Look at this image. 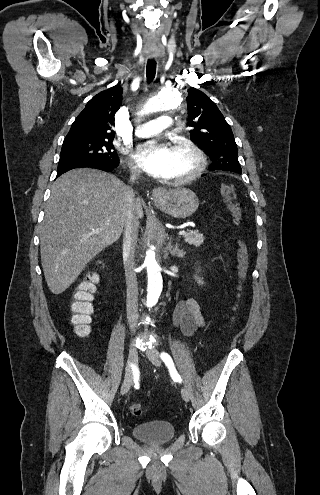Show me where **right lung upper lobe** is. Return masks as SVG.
Here are the masks:
<instances>
[{
    "label": "right lung upper lobe",
    "instance_id": "right-lung-upper-lobe-1",
    "mask_svg": "<svg viewBox=\"0 0 320 495\" xmlns=\"http://www.w3.org/2000/svg\"><path fill=\"white\" fill-rule=\"evenodd\" d=\"M122 88L113 86L95 95L73 122L64 140H113L114 116L121 106Z\"/></svg>",
    "mask_w": 320,
    "mask_h": 495
}]
</instances>
